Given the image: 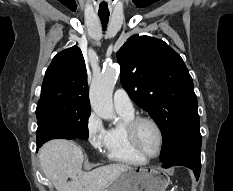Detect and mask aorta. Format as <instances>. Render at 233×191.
I'll return each instance as SVG.
<instances>
[{"mask_svg": "<svg viewBox=\"0 0 233 191\" xmlns=\"http://www.w3.org/2000/svg\"><path fill=\"white\" fill-rule=\"evenodd\" d=\"M119 74L117 65L107 66L91 83L89 98L93 111L101 118L117 121L112 93Z\"/></svg>", "mask_w": 233, "mask_h": 191, "instance_id": "762f6f07", "label": "aorta"}]
</instances>
